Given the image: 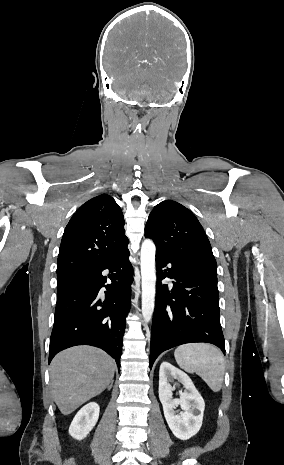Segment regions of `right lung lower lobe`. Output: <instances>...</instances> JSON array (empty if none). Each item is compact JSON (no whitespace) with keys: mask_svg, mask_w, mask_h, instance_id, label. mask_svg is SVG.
Listing matches in <instances>:
<instances>
[{"mask_svg":"<svg viewBox=\"0 0 284 465\" xmlns=\"http://www.w3.org/2000/svg\"><path fill=\"white\" fill-rule=\"evenodd\" d=\"M129 254L126 247L94 268L57 280L49 363L66 348L91 345L113 357L120 371L125 319L131 306ZM104 270L110 273L104 275ZM107 278L112 284L105 285ZM102 287L106 288L104 299Z\"/></svg>","mask_w":284,"mask_h":465,"instance_id":"98d812e1","label":"right lung lower lobe"}]
</instances>
